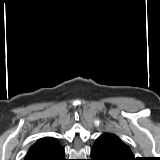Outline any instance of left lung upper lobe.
<instances>
[{
    "mask_svg": "<svg viewBox=\"0 0 160 160\" xmlns=\"http://www.w3.org/2000/svg\"><path fill=\"white\" fill-rule=\"evenodd\" d=\"M111 135H112L113 137H115L123 146H125V148L128 150V152H129L131 155H133V153H132V151L130 150L129 146H127L125 143H123L118 136H116V135H114V134H111Z\"/></svg>",
    "mask_w": 160,
    "mask_h": 160,
    "instance_id": "1",
    "label": "left lung upper lobe"
}]
</instances>
